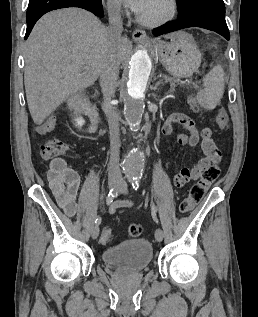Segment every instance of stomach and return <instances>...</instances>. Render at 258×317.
Returning <instances> with one entry per match:
<instances>
[{"mask_svg":"<svg viewBox=\"0 0 258 317\" xmlns=\"http://www.w3.org/2000/svg\"><path fill=\"white\" fill-rule=\"evenodd\" d=\"M153 46L156 56L172 76L188 78L200 66L201 52L193 36L185 30L175 32L170 42L155 40Z\"/></svg>","mask_w":258,"mask_h":317,"instance_id":"obj_1","label":"stomach"}]
</instances>
